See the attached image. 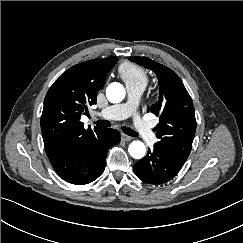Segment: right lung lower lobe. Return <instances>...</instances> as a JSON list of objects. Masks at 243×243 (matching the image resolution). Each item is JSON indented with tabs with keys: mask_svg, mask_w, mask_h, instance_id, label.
Here are the masks:
<instances>
[{
	"mask_svg": "<svg viewBox=\"0 0 243 243\" xmlns=\"http://www.w3.org/2000/svg\"><path fill=\"white\" fill-rule=\"evenodd\" d=\"M119 142V131L102 129L79 144L47 151V155L60 177L69 183L84 185L103 173L108 149Z\"/></svg>",
	"mask_w": 243,
	"mask_h": 243,
	"instance_id": "right-lung-lower-lobe-1",
	"label": "right lung lower lobe"
}]
</instances>
